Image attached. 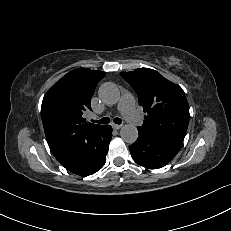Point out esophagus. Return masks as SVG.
<instances>
[{
	"instance_id": "esophagus-1",
	"label": "esophagus",
	"mask_w": 231,
	"mask_h": 231,
	"mask_svg": "<svg viewBox=\"0 0 231 231\" xmlns=\"http://www.w3.org/2000/svg\"><path fill=\"white\" fill-rule=\"evenodd\" d=\"M113 129L118 130L122 127V125L119 124H112Z\"/></svg>"
}]
</instances>
